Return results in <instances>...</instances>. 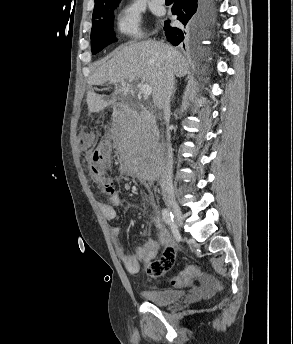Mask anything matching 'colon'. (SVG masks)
I'll return each instance as SVG.
<instances>
[{"instance_id": "obj_1", "label": "colon", "mask_w": 293, "mask_h": 344, "mask_svg": "<svg viewBox=\"0 0 293 344\" xmlns=\"http://www.w3.org/2000/svg\"><path fill=\"white\" fill-rule=\"evenodd\" d=\"M84 137H88V132H84ZM90 165L96 182L101 186L102 190L109 195L116 192L115 180L108 175V171L112 167V146L108 140L101 141L90 158ZM202 274L201 270L196 266L186 267L177 278L172 280V284L182 285L192 279L194 276Z\"/></svg>"}]
</instances>
